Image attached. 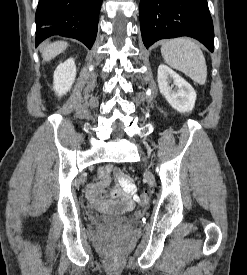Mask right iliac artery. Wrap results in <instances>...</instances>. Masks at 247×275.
Listing matches in <instances>:
<instances>
[{"mask_svg": "<svg viewBox=\"0 0 247 275\" xmlns=\"http://www.w3.org/2000/svg\"><path fill=\"white\" fill-rule=\"evenodd\" d=\"M98 174H105V169L103 167H100L98 169Z\"/></svg>", "mask_w": 247, "mask_h": 275, "instance_id": "82829eb1", "label": "right iliac artery"}]
</instances>
